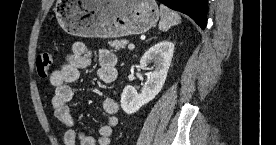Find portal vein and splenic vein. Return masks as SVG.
I'll use <instances>...</instances> for the list:
<instances>
[{
    "label": "portal vein and splenic vein",
    "instance_id": "portal-vein-and-splenic-vein-1",
    "mask_svg": "<svg viewBox=\"0 0 276 145\" xmlns=\"http://www.w3.org/2000/svg\"><path fill=\"white\" fill-rule=\"evenodd\" d=\"M135 48L134 44H129L128 49L133 50Z\"/></svg>",
    "mask_w": 276,
    "mask_h": 145
}]
</instances>
